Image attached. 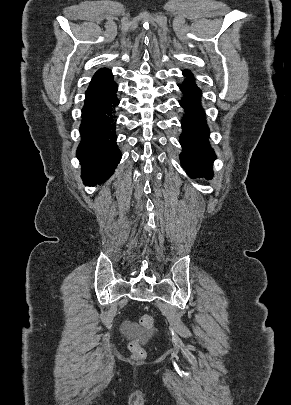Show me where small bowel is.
<instances>
[{"mask_svg": "<svg viewBox=\"0 0 291 405\" xmlns=\"http://www.w3.org/2000/svg\"><path fill=\"white\" fill-rule=\"evenodd\" d=\"M125 326L128 327V328H133L134 327V325L131 324L129 321L125 322Z\"/></svg>", "mask_w": 291, "mask_h": 405, "instance_id": "c3829d8e", "label": "small bowel"}]
</instances>
